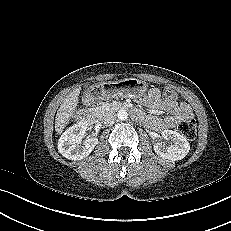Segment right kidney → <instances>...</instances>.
Returning a JSON list of instances; mask_svg holds the SVG:
<instances>
[{
	"instance_id": "obj_1",
	"label": "right kidney",
	"mask_w": 231,
	"mask_h": 231,
	"mask_svg": "<svg viewBox=\"0 0 231 231\" xmlns=\"http://www.w3.org/2000/svg\"><path fill=\"white\" fill-rule=\"evenodd\" d=\"M88 126L87 121H80L61 135L58 141V151L63 157L70 160H81L91 153L98 144L96 137L88 136L81 144Z\"/></svg>"
}]
</instances>
